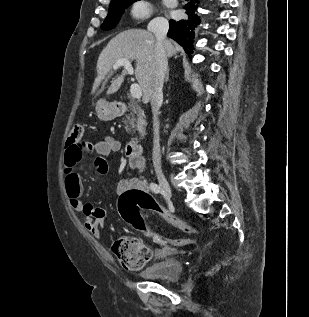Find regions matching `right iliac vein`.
Wrapping results in <instances>:
<instances>
[{"mask_svg":"<svg viewBox=\"0 0 309 317\" xmlns=\"http://www.w3.org/2000/svg\"><path fill=\"white\" fill-rule=\"evenodd\" d=\"M156 175H157L158 182H159L164 194L166 195V197L168 199H171L172 198V191H171L170 185H169L165 175L161 171H158L156 173Z\"/></svg>","mask_w":309,"mask_h":317,"instance_id":"63e3f726","label":"right iliac vein"}]
</instances>
